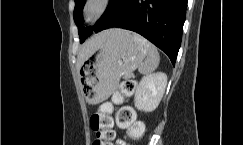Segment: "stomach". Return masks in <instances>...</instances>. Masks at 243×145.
<instances>
[{"label": "stomach", "instance_id": "obj_1", "mask_svg": "<svg viewBox=\"0 0 243 145\" xmlns=\"http://www.w3.org/2000/svg\"><path fill=\"white\" fill-rule=\"evenodd\" d=\"M139 35L123 29H111L102 45L81 69L84 99L98 104L110 97L120 78L134 71L147 55Z\"/></svg>", "mask_w": 243, "mask_h": 145}]
</instances>
